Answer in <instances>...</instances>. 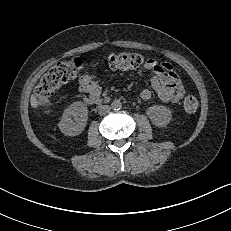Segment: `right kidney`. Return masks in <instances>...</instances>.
Returning a JSON list of instances; mask_svg holds the SVG:
<instances>
[{
	"instance_id": "obj_1",
	"label": "right kidney",
	"mask_w": 231,
	"mask_h": 231,
	"mask_svg": "<svg viewBox=\"0 0 231 231\" xmlns=\"http://www.w3.org/2000/svg\"><path fill=\"white\" fill-rule=\"evenodd\" d=\"M88 119V108L83 102H74L65 109L59 122L60 131L66 136H76L85 129Z\"/></svg>"
}]
</instances>
